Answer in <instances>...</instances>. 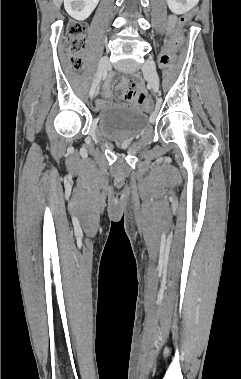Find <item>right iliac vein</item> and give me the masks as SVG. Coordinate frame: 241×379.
<instances>
[{
    "instance_id": "63e3f726",
    "label": "right iliac vein",
    "mask_w": 241,
    "mask_h": 379,
    "mask_svg": "<svg viewBox=\"0 0 241 379\" xmlns=\"http://www.w3.org/2000/svg\"><path fill=\"white\" fill-rule=\"evenodd\" d=\"M109 66H110V62H109L108 57H106V56L103 57L99 62V68H98V71L95 75L94 81L92 83V86H91V89L89 92V97L91 99L96 96V94L98 92V85H99V81L101 79L102 73L104 71L108 70Z\"/></svg>"
}]
</instances>
